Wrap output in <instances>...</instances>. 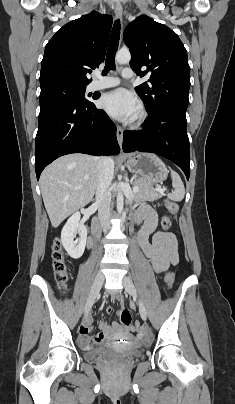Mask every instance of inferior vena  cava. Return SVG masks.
<instances>
[{
  "instance_id": "1",
  "label": "inferior vena cava",
  "mask_w": 235,
  "mask_h": 404,
  "mask_svg": "<svg viewBox=\"0 0 235 404\" xmlns=\"http://www.w3.org/2000/svg\"><path fill=\"white\" fill-rule=\"evenodd\" d=\"M98 181L96 188V204L98 206V217L101 221L103 231L109 228L111 191L110 185L114 175V162L109 157H99Z\"/></svg>"
}]
</instances>
